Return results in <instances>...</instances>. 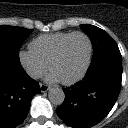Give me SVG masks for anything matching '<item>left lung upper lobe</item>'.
I'll list each match as a JSON object with an SVG mask.
<instances>
[{"label": "left lung upper lobe", "mask_w": 128, "mask_h": 128, "mask_svg": "<svg viewBox=\"0 0 128 128\" xmlns=\"http://www.w3.org/2000/svg\"><path fill=\"white\" fill-rule=\"evenodd\" d=\"M81 28L86 31L91 39L94 51L92 59L103 53L119 52L116 42L104 30L90 24H83Z\"/></svg>", "instance_id": "left-lung-upper-lobe-1"}]
</instances>
